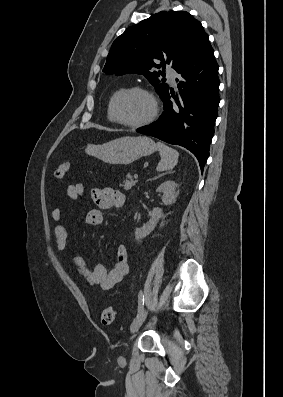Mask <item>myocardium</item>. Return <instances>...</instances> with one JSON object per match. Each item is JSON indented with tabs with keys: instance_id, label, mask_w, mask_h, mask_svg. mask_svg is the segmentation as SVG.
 I'll list each match as a JSON object with an SVG mask.
<instances>
[{
	"instance_id": "myocardium-1",
	"label": "myocardium",
	"mask_w": 283,
	"mask_h": 397,
	"mask_svg": "<svg viewBox=\"0 0 283 397\" xmlns=\"http://www.w3.org/2000/svg\"><path fill=\"white\" fill-rule=\"evenodd\" d=\"M131 93H142L145 94L146 96L149 97V99L152 102V112L151 114L145 118L144 120L140 121V122H136V123H131V122H126L123 119H121L120 115H119V111H118V105L120 100L125 97L128 94ZM112 112L115 118V121L125 127L128 128H133V129H137V128H141L144 127L150 123H152L156 117L158 116L159 113V102L157 97L154 95V93L152 91H150L149 89L143 87V86H132V87H128L124 90H122L121 92H119L112 103Z\"/></svg>"
}]
</instances>
